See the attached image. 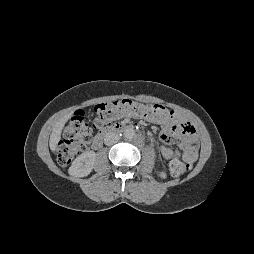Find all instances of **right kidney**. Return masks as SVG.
<instances>
[{
	"mask_svg": "<svg viewBox=\"0 0 254 254\" xmlns=\"http://www.w3.org/2000/svg\"><path fill=\"white\" fill-rule=\"evenodd\" d=\"M96 154L93 151H87L79 155L71 164L69 174L75 177H85L90 174L94 167Z\"/></svg>",
	"mask_w": 254,
	"mask_h": 254,
	"instance_id": "obj_1",
	"label": "right kidney"
}]
</instances>
